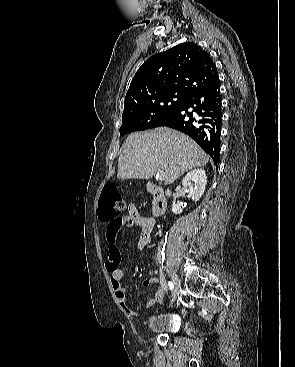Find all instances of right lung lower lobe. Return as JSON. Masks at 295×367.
Returning a JSON list of instances; mask_svg holds the SVG:
<instances>
[{
	"label": "right lung lower lobe",
	"mask_w": 295,
	"mask_h": 367,
	"mask_svg": "<svg viewBox=\"0 0 295 367\" xmlns=\"http://www.w3.org/2000/svg\"><path fill=\"white\" fill-rule=\"evenodd\" d=\"M219 78L187 96L182 106L156 121L150 128L167 126L194 139L219 164L221 134Z\"/></svg>",
	"instance_id": "right-lung-lower-lobe-1"
}]
</instances>
